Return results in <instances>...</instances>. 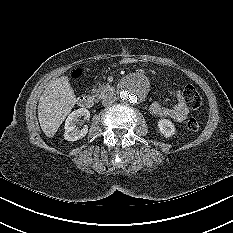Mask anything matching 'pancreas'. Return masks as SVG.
<instances>
[{"label":"pancreas","instance_id":"pancreas-1","mask_svg":"<svg viewBox=\"0 0 233 233\" xmlns=\"http://www.w3.org/2000/svg\"><path fill=\"white\" fill-rule=\"evenodd\" d=\"M109 91H111V86L109 84L100 85L98 89H92V94L97 98L104 97Z\"/></svg>","mask_w":233,"mask_h":233}]
</instances>
